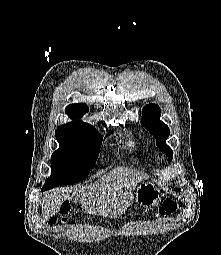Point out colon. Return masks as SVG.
I'll list each match as a JSON object with an SVG mask.
<instances>
[{"label": "colon", "mask_w": 221, "mask_h": 255, "mask_svg": "<svg viewBox=\"0 0 221 255\" xmlns=\"http://www.w3.org/2000/svg\"><path fill=\"white\" fill-rule=\"evenodd\" d=\"M177 209V203L174 200H166L162 203V205L158 209V215L160 216H165V215H170L174 213ZM69 211V206L68 205H62L61 211H60V218L62 220H65L66 215ZM57 221V217H54L51 219V223H55Z\"/></svg>", "instance_id": "1"}]
</instances>
